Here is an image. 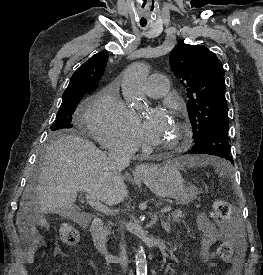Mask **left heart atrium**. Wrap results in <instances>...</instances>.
I'll return each instance as SVG.
<instances>
[{
	"instance_id": "left-heart-atrium-1",
	"label": "left heart atrium",
	"mask_w": 263,
	"mask_h": 275,
	"mask_svg": "<svg viewBox=\"0 0 263 275\" xmlns=\"http://www.w3.org/2000/svg\"><path fill=\"white\" fill-rule=\"evenodd\" d=\"M168 122L167 114L163 110H154L142 125L145 138L154 143Z\"/></svg>"
}]
</instances>
